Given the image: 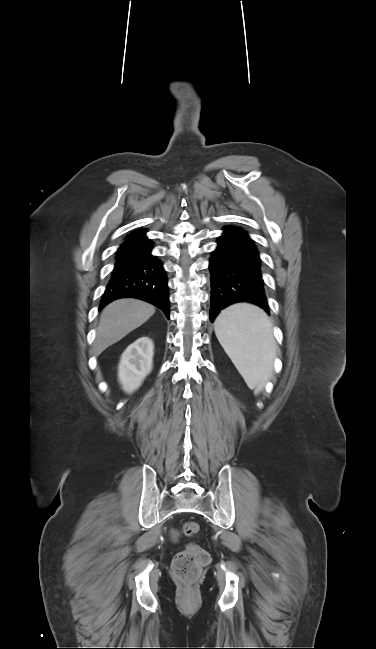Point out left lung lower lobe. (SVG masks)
Here are the masks:
<instances>
[{"mask_svg": "<svg viewBox=\"0 0 376 649\" xmlns=\"http://www.w3.org/2000/svg\"><path fill=\"white\" fill-rule=\"evenodd\" d=\"M218 246L211 253L210 321L220 310L236 302H250L269 314L264 293L262 261L253 240L246 232L235 227L223 229Z\"/></svg>", "mask_w": 376, "mask_h": 649, "instance_id": "obj_1", "label": "left lung lower lobe"}]
</instances>
